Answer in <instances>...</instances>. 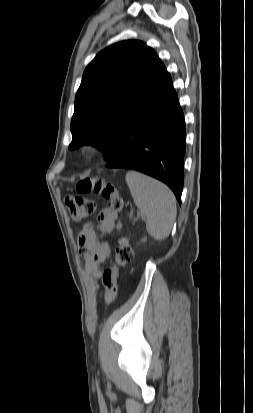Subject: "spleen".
Returning a JSON list of instances; mask_svg holds the SVG:
<instances>
[{"label": "spleen", "mask_w": 253, "mask_h": 413, "mask_svg": "<svg viewBox=\"0 0 253 413\" xmlns=\"http://www.w3.org/2000/svg\"><path fill=\"white\" fill-rule=\"evenodd\" d=\"M134 203L147 216V232L156 240L167 238L177 215L176 199L163 183L137 171L126 173Z\"/></svg>", "instance_id": "spleen-1"}]
</instances>
